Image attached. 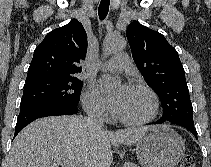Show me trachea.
Wrapping results in <instances>:
<instances>
[{"label": "trachea", "mask_w": 211, "mask_h": 167, "mask_svg": "<svg viewBox=\"0 0 211 167\" xmlns=\"http://www.w3.org/2000/svg\"><path fill=\"white\" fill-rule=\"evenodd\" d=\"M110 0H101L98 14L101 20L105 19L109 11Z\"/></svg>", "instance_id": "trachea-1"}]
</instances>
